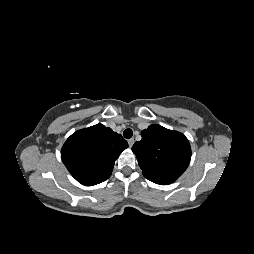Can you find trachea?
Listing matches in <instances>:
<instances>
[{
    "label": "trachea",
    "instance_id": "trachea-1",
    "mask_svg": "<svg viewBox=\"0 0 254 254\" xmlns=\"http://www.w3.org/2000/svg\"><path fill=\"white\" fill-rule=\"evenodd\" d=\"M133 135V131L131 129H125L124 132H123V136L126 138V139H129L131 138Z\"/></svg>",
    "mask_w": 254,
    "mask_h": 254
}]
</instances>
